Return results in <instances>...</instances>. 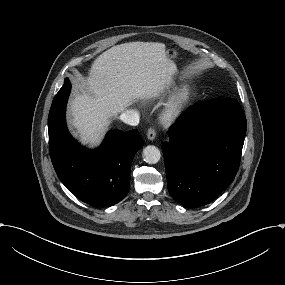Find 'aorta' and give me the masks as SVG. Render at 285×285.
<instances>
[{
	"label": "aorta",
	"mask_w": 285,
	"mask_h": 285,
	"mask_svg": "<svg viewBox=\"0 0 285 285\" xmlns=\"http://www.w3.org/2000/svg\"><path fill=\"white\" fill-rule=\"evenodd\" d=\"M161 157L160 150L153 145H149L143 150L144 161L148 164H156Z\"/></svg>",
	"instance_id": "762f6f07"
}]
</instances>
